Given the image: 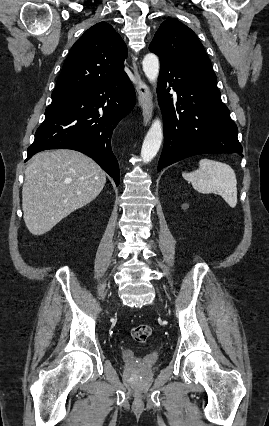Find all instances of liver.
<instances>
[{
    "label": "liver",
    "mask_w": 269,
    "mask_h": 426,
    "mask_svg": "<svg viewBox=\"0 0 269 426\" xmlns=\"http://www.w3.org/2000/svg\"><path fill=\"white\" fill-rule=\"evenodd\" d=\"M105 172L88 156L68 149L34 155L25 170L22 210L26 227L43 235L102 191Z\"/></svg>",
    "instance_id": "obj_1"
}]
</instances>
